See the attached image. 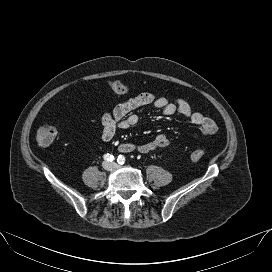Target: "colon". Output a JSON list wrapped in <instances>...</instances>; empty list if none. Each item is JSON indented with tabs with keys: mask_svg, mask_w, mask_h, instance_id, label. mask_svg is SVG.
<instances>
[{
	"mask_svg": "<svg viewBox=\"0 0 272 272\" xmlns=\"http://www.w3.org/2000/svg\"><path fill=\"white\" fill-rule=\"evenodd\" d=\"M110 89L117 94H125L128 87L121 81L114 80L109 82ZM57 136V129L52 125H43L36 132V142L40 146L51 145ZM205 156L204 150H195L190 154L192 162H198Z\"/></svg>",
	"mask_w": 272,
	"mask_h": 272,
	"instance_id": "colon-1",
	"label": "colon"
}]
</instances>
